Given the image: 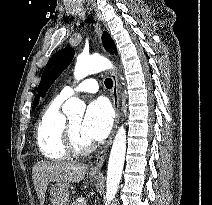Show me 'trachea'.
Listing matches in <instances>:
<instances>
[{
    "instance_id": "3493384b",
    "label": "trachea",
    "mask_w": 212,
    "mask_h": 205,
    "mask_svg": "<svg viewBox=\"0 0 212 205\" xmlns=\"http://www.w3.org/2000/svg\"><path fill=\"white\" fill-rule=\"evenodd\" d=\"M104 83H105V86H106L108 89H111V88L113 87V81H112V79H110V78H106Z\"/></svg>"
}]
</instances>
